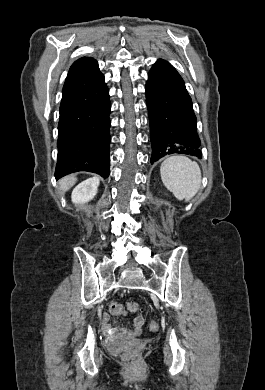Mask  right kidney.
Instances as JSON below:
<instances>
[{
	"mask_svg": "<svg viewBox=\"0 0 265 390\" xmlns=\"http://www.w3.org/2000/svg\"><path fill=\"white\" fill-rule=\"evenodd\" d=\"M99 181V177H92L77 185L71 195L72 202L83 204L92 200L97 194Z\"/></svg>",
	"mask_w": 265,
	"mask_h": 390,
	"instance_id": "ca27d5eb",
	"label": "right kidney"
}]
</instances>
